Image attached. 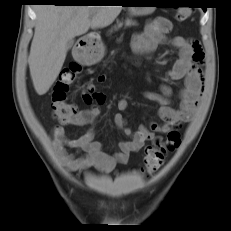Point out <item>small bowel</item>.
I'll return each mask as SVG.
<instances>
[{
    "label": "small bowel",
    "instance_id": "small-bowel-1",
    "mask_svg": "<svg viewBox=\"0 0 231 231\" xmlns=\"http://www.w3.org/2000/svg\"><path fill=\"white\" fill-rule=\"evenodd\" d=\"M172 30V23L166 18H156L148 23L146 28L133 36L132 49L136 55H150L157 46L167 41V34ZM170 43L179 50V58L168 75L172 80H183L184 87L180 91V103L178 108L171 106L169 96L171 89L162 87V95L148 92L146 98L158 102L161 107L159 116L162 124L151 123L150 128L139 127L136 131L127 127L123 115L128 107V101L121 98L117 101L118 112L114 116L115 124L122 129L130 140L119 143V151L113 155L106 153L100 141L95 139L94 123L100 115V105L105 101V96L96 91L95 85L88 82L84 87L83 100L90 107L84 111H78L66 124L83 126L90 124L91 128L77 138H69L62 126H55L52 130V146L61 164L69 171H84L91 167L109 172L117 164H126L131 153L139 151L146 141L152 140L156 133H169L173 129L186 123L194 116L202 91V64L204 52L200 43L182 36L174 37ZM100 75L97 80L104 81ZM75 149L82 155H76L68 151Z\"/></svg>",
    "mask_w": 231,
    "mask_h": 231
}]
</instances>
